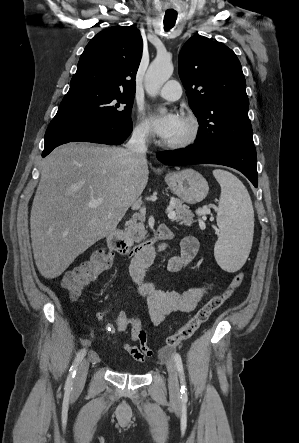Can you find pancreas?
I'll return each instance as SVG.
<instances>
[{
  "label": "pancreas",
  "mask_w": 299,
  "mask_h": 443,
  "mask_svg": "<svg viewBox=\"0 0 299 443\" xmlns=\"http://www.w3.org/2000/svg\"><path fill=\"white\" fill-rule=\"evenodd\" d=\"M173 209L176 217L174 220L178 221L180 225L191 226L194 222V214L189 207L183 204V201L177 198H172ZM145 215L144 213L134 214L130 220L126 222L124 231L125 238L130 242H141L146 238V230L144 227Z\"/></svg>",
  "instance_id": "obj_1"
}]
</instances>
